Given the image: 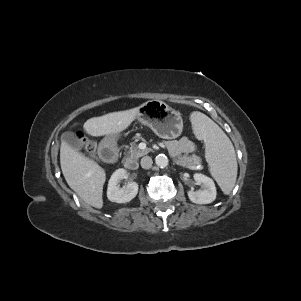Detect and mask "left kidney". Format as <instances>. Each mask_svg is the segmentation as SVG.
<instances>
[{"label": "left kidney", "instance_id": "left-kidney-1", "mask_svg": "<svg viewBox=\"0 0 301 301\" xmlns=\"http://www.w3.org/2000/svg\"><path fill=\"white\" fill-rule=\"evenodd\" d=\"M194 180L198 184H202V189L198 191H189L188 197L190 201L196 204H209L216 199V187L214 181L203 175L195 174Z\"/></svg>", "mask_w": 301, "mask_h": 301}]
</instances>
